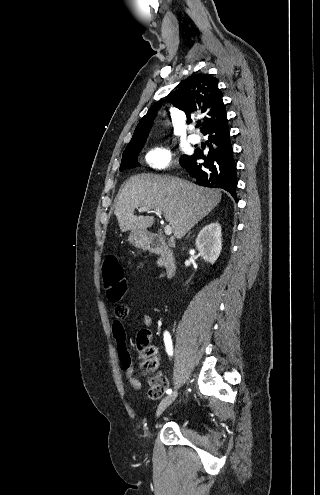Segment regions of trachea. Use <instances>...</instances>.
Returning a JSON list of instances; mask_svg holds the SVG:
<instances>
[{"label":"trachea","instance_id":"trachea-1","mask_svg":"<svg viewBox=\"0 0 320 495\" xmlns=\"http://www.w3.org/2000/svg\"><path fill=\"white\" fill-rule=\"evenodd\" d=\"M201 124H197L196 127L198 128Z\"/></svg>","mask_w":320,"mask_h":495}]
</instances>
